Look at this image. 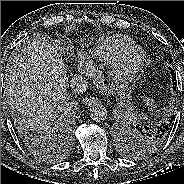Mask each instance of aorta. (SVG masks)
<instances>
[{"instance_id": "1", "label": "aorta", "mask_w": 184, "mask_h": 184, "mask_svg": "<svg viewBox=\"0 0 184 184\" xmlns=\"http://www.w3.org/2000/svg\"><path fill=\"white\" fill-rule=\"evenodd\" d=\"M90 118L95 122H103L108 116L107 108L99 103H96L90 107Z\"/></svg>"}]
</instances>
